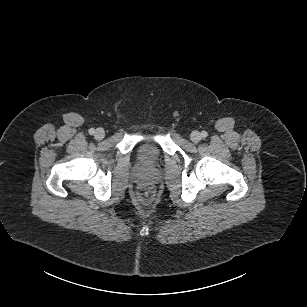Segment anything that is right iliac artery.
Wrapping results in <instances>:
<instances>
[{"label":"right iliac artery","instance_id":"82829eb1","mask_svg":"<svg viewBox=\"0 0 307 307\" xmlns=\"http://www.w3.org/2000/svg\"><path fill=\"white\" fill-rule=\"evenodd\" d=\"M95 133V130L93 128L89 129V134L93 135Z\"/></svg>","mask_w":307,"mask_h":307}]
</instances>
